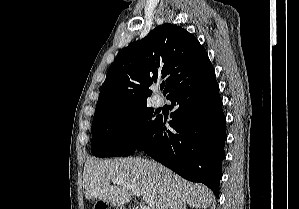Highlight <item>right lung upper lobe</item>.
I'll use <instances>...</instances> for the list:
<instances>
[{"instance_id":"1","label":"right lung upper lobe","mask_w":299,"mask_h":209,"mask_svg":"<svg viewBox=\"0 0 299 209\" xmlns=\"http://www.w3.org/2000/svg\"><path fill=\"white\" fill-rule=\"evenodd\" d=\"M214 68L199 41L187 30L165 23L119 51L102 84L95 115L145 104L157 80L168 95L184 79L210 75Z\"/></svg>"}]
</instances>
